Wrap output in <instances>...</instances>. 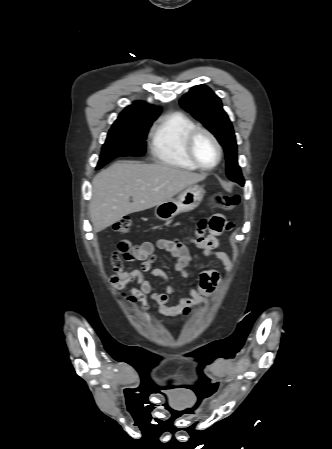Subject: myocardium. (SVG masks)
Returning <instances> with one entry per match:
<instances>
[{
    "label": "myocardium",
    "mask_w": 332,
    "mask_h": 449,
    "mask_svg": "<svg viewBox=\"0 0 332 449\" xmlns=\"http://www.w3.org/2000/svg\"><path fill=\"white\" fill-rule=\"evenodd\" d=\"M199 134H205L207 137H209L211 139V141L213 142V144L216 147L217 150V159L216 161L210 165V166H205L203 165L196 157L195 153H194V141L196 139V137ZM185 152L188 156V158L190 159V161L199 169L202 170H212L215 167L218 166V164L220 163L221 159H222V146L219 142V140L217 139V137L207 128L202 127V126H195L193 129H191L189 131V133L187 134L186 138H185Z\"/></svg>",
    "instance_id": "1"
}]
</instances>
